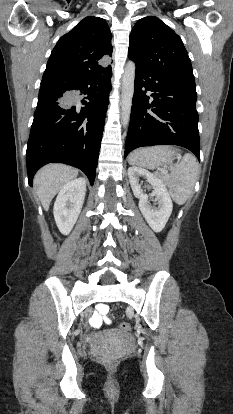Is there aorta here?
I'll return each instance as SVG.
<instances>
[{"label": "aorta", "instance_id": "1", "mask_svg": "<svg viewBox=\"0 0 233 414\" xmlns=\"http://www.w3.org/2000/svg\"><path fill=\"white\" fill-rule=\"evenodd\" d=\"M135 70V63L133 61H128L122 78L121 122L123 126H127L130 120L132 99L134 95Z\"/></svg>", "mask_w": 233, "mask_h": 414}]
</instances>
